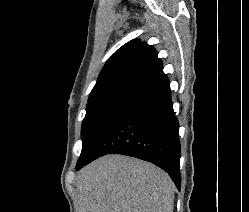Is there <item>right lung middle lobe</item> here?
Instances as JSON below:
<instances>
[{
    "instance_id": "dd1d6c3e",
    "label": "right lung middle lobe",
    "mask_w": 249,
    "mask_h": 212,
    "mask_svg": "<svg viewBox=\"0 0 249 212\" xmlns=\"http://www.w3.org/2000/svg\"><path fill=\"white\" fill-rule=\"evenodd\" d=\"M138 96L130 92H113L88 100L81 129L82 152L76 167L86 160L111 122Z\"/></svg>"
}]
</instances>
